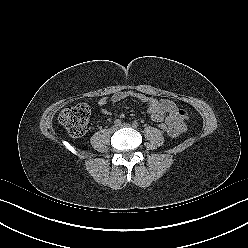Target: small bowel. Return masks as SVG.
Masks as SVG:
<instances>
[{
    "mask_svg": "<svg viewBox=\"0 0 248 248\" xmlns=\"http://www.w3.org/2000/svg\"><path fill=\"white\" fill-rule=\"evenodd\" d=\"M127 98H135L147 103V112L151 119L156 123L165 121L170 128L171 136H177L186 130L185 120L188 118L187 112L178 108L173 101L168 99L158 100L137 91L121 90L115 92L109 98L102 97L98 104L102 108L103 113L108 114V110L105 108L108 102L117 103Z\"/></svg>",
    "mask_w": 248,
    "mask_h": 248,
    "instance_id": "obj_1",
    "label": "small bowel"
}]
</instances>
